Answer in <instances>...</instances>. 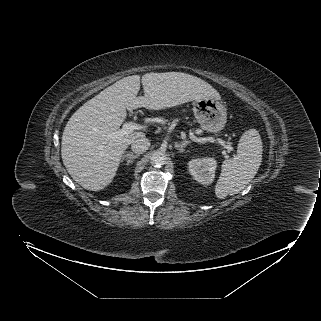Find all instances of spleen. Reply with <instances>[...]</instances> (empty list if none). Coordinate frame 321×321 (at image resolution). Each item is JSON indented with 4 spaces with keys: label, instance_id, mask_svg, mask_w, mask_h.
<instances>
[{
    "label": "spleen",
    "instance_id": "3e777b00",
    "mask_svg": "<svg viewBox=\"0 0 321 321\" xmlns=\"http://www.w3.org/2000/svg\"><path fill=\"white\" fill-rule=\"evenodd\" d=\"M262 140L256 129H249L241 136L237 155L223 162L220 178L215 186L219 199L242 191L255 177L262 161Z\"/></svg>",
    "mask_w": 321,
    "mask_h": 321
}]
</instances>
